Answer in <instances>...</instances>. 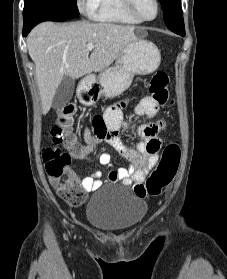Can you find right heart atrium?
Returning <instances> with one entry per match:
<instances>
[{
    "label": "right heart atrium",
    "instance_id": "obj_1",
    "mask_svg": "<svg viewBox=\"0 0 227 279\" xmlns=\"http://www.w3.org/2000/svg\"><path fill=\"white\" fill-rule=\"evenodd\" d=\"M78 4L80 7H84L86 9L89 8L90 0H78Z\"/></svg>",
    "mask_w": 227,
    "mask_h": 279
}]
</instances>
